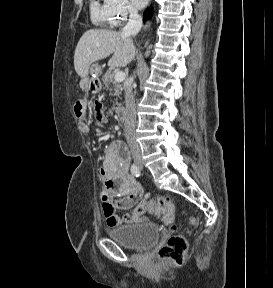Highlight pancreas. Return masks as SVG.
Instances as JSON below:
<instances>
[{"instance_id": "pancreas-1", "label": "pancreas", "mask_w": 273, "mask_h": 288, "mask_svg": "<svg viewBox=\"0 0 273 288\" xmlns=\"http://www.w3.org/2000/svg\"><path fill=\"white\" fill-rule=\"evenodd\" d=\"M114 74L111 71H107L103 77H102V81H103V85L106 89H108L110 91V95H114L117 98L121 99V94H122V85L117 82L114 81ZM112 91H114V93H112ZM119 106V103L117 102V99L115 100V102L113 103V109L117 110Z\"/></svg>"}]
</instances>
